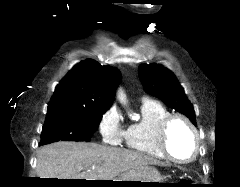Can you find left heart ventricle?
Returning <instances> with one entry per match:
<instances>
[{"label": "left heart ventricle", "mask_w": 240, "mask_h": 187, "mask_svg": "<svg viewBox=\"0 0 240 187\" xmlns=\"http://www.w3.org/2000/svg\"><path fill=\"white\" fill-rule=\"evenodd\" d=\"M168 148L178 159H188L194 149L193 138L188 127L180 121L172 124L168 133Z\"/></svg>", "instance_id": "b2bd125f"}]
</instances>
